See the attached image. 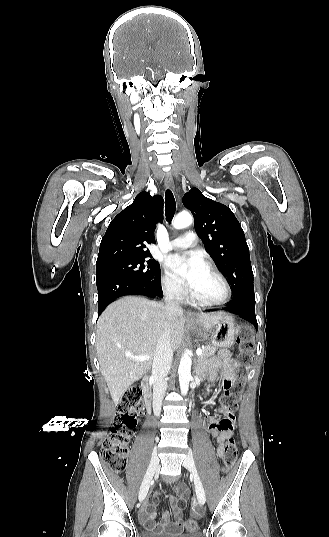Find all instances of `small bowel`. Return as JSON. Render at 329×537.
<instances>
[{"label":"small bowel","mask_w":329,"mask_h":537,"mask_svg":"<svg viewBox=\"0 0 329 537\" xmlns=\"http://www.w3.org/2000/svg\"><path fill=\"white\" fill-rule=\"evenodd\" d=\"M236 368V361L231 358L228 353L222 352L212 360L209 368V377L211 380H215L218 376H221L223 382L221 386H219V389H221L223 393H228L231 391L233 385L232 381L236 377ZM207 427L209 434L215 438L218 443L216 451L217 456L223 458L225 438L231 436L233 431L224 432L220 430L216 420L213 418L208 419ZM175 491L177 496L170 495L168 497L169 503L173 509L174 519H171L168 512H163L161 520L159 522L155 520L157 516L156 508L159 503L158 491L155 492L150 502L144 503L141 508V521L146 529L157 533L166 532L171 534H176L183 530L185 527L183 522V510L188 491L184 485L177 486Z\"/></svg>","instance_id":"1"}]
</instances>
